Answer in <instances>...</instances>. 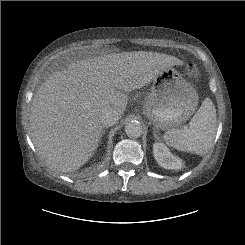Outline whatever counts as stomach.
Masks as SVG:
<instances>
[{
    "label": "stomach",
    "instance_id": "0dacf381",
    "mask_svg": "<svg viewBox=\"0 0 245 245\" xmlns=\"http://www.w3.org/2000/svg\"><path fill=\"white\" fill-rule=\"evenodd\" d=\"M198 100L193 86L176 69L168 67L154 77L144 114L156 129H174L194 114Z\"/></svg>",
    "mask_w": 245,
    "mask_h": 245
}]
</instances>
